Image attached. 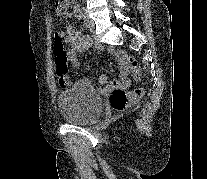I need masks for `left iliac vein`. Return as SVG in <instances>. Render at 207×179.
<instances>
[{
  "instance_id": "4c4485c4",
  "label": "left iliac vein",
  "mask_w": 207,
  "mask_h": 179,
  "mask_svg": "<svg viewBox=\"0 0 207 179\" xmlns=\"http://www.w3.org/2000/svg\"><path fill=\"white\" fill-rule=\"evenodd\" d=\"M84 18H85V25H86L87 29L92 31L94 28L93 22L89 19L86 12L84 13Z\"/></svg>"
}]
</instances>
